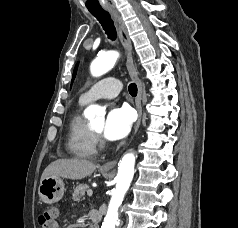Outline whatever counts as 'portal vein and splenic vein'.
<instances>
[{"instance_id": "obj_1", "label": "portal vein and splenic vein", "mask_w": 238, "mask_h": 228, "mask_svg": "<svg viewBox=\"0 0 238 228\" xmlns=\"http://www.w3.org/2000/svg\"><path fill=\"white\" fill-rule=\"evenodd\" d=\"M88 196H89V197L92 196V191H91V190L88 191Z\"/></svg>"}]
</instances>
